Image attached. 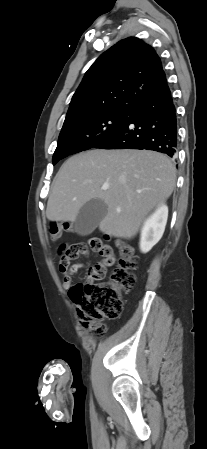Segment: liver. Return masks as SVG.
Segmentation results:
<instances>
[{"instance_id":"6515ba94","label":"liver","mask_w":207,"mask_h":449,"mask_svg":"<svg viewBox=\"0 0 207 449\" xmlns=\"http://www.w3.org/2000/svg\"><path fill=\"white\" fill-rule=\"evenodd\" d=\"M176 168L161 153L147 150H89L59 169L47 202L52 222H74L91 199L108 208L99 229L116 238H133L148 213L170 197ZM108 184L107 190L101 187Z\"/></svg>"}]
</instances>
